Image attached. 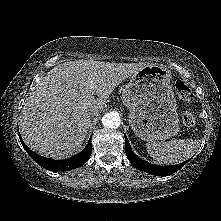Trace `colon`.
Segmentation results:
<instances>
[{"mask_svg":"<svg viewBox=\"0 0 221 221\" xmlns=\"http://www.w3.org/2000/svg\"><path fill=\"white\" fill-rule=\"evenodd\" d=\"M174 92L177 98L183 102H191L193 100V92L191 88L183 81L178 80L174 85ZM182 122L187 127L195 124V118L190 111H184L181 116Z\"/></svg>","mask_w":221,"mask_h":221,"instance_id":"1","label":"colon"}]
</instances>
